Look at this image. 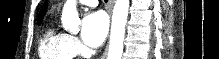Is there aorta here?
I'll use <instances>...</instances> for the list:
<instances>
[{"label":"aorta","instance_id":"762f6f07","mask_svg":"<svg viewBox=\"0 0 219 59\" xmlns=\"http://www.w3.org/2000/svg\"><path fill=\"white\" fill-rule=\"evenodd\" d=\"M130 1L116 0L111 23L110 44L107 59H122L125 38V25L128 18ZM62 24L72 33L79 30L80 19L76 0H67L62 11Z\"/></svg>","mask_w":219,"mask_h":59}]
</instances>
